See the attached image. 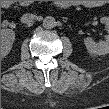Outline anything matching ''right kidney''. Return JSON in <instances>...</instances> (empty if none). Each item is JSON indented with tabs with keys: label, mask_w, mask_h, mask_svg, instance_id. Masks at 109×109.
Listing matches in <instances>:
<instances>
[{
	"label": "right kidney",
	"mask_w": 109,
	"mask_h": 109,
	"mask_svg": "<svg viewBox=\"0 0 109 109\" xmlns=\"http://www.w3.org/2000/svg\"><path fill=\"white\" fill-rule=\"evenodd\" d=\"M15 40V32L11 29H2L1 31V55L6 56Z\"/></svg>",
	"instance_id": "1"
}]
</instances>
